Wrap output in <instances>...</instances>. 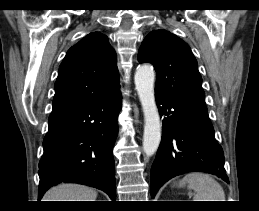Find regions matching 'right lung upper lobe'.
Here are the masks:
<instances>
[{
    "label": "right lung upper lobe",
    "mask_w": 259,
    "mask_h": 211,
    "mask_svg": "<svg viewBox=\"0 0 259 211\" xmlns=\"http://www.w3.org/2000/svg\"><path fill=\"white\" fill-rule=\"evenodd\" d=\"M119 87L115 51L107 36L92 32L71 47L61 63L52 112L92 103Z\"/></svg>",
    "instance_id": "1"
}]
</instances>
